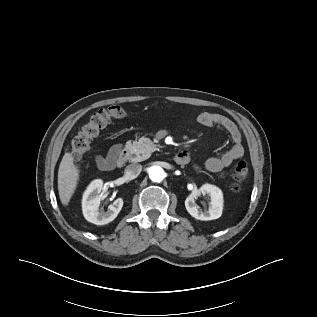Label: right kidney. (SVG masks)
I'll return each instance as SVG.
<instances>
[{
    "mask_svg": "<svg viewBox=\"0 0 317 317\" xmlns=\"http://www.w3.org/2000/svg\"><path fill=\"white\" fill-rule=\"evenodd\" d=\"M103 190V181L93 180L83 194L82 211L85 219L96 225H105L113 221L123 207V199H116L108 206L107 212L99 210L101 201L100 193Z\"/></svg>",
    "mask_w": 317,
    "mask_h": 317,
    "instance_id": "ca27d5eb",
    "label": "right kidney"
}]
</instances>
